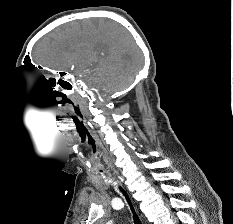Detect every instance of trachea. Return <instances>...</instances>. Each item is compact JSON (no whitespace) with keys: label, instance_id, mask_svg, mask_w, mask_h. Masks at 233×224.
Returning <instances> with one entry per match:
<instances>
[{"label":"trachea","instance_id":"trachea-1","mask_svg":"<svg viewBox=\"0 0 233 224\" xmlns=\"http://www.w3.org/2000/svg\"><path fill=\"white\" fill-rule=\"evenodd\" d=\"M120 190L123 192V194H124V196H125V198H126L128 204H129V206H130V208H131V211H132L133 216H134V222H135V224H141V221L139 220V218H138V216H137V214H136V212H135V210H134V207H133V205H132V202H131V200H130L128 194H127L121 187H120Z\"/></svg>","mask_w":233,"mask_h":224}]
</instances>
